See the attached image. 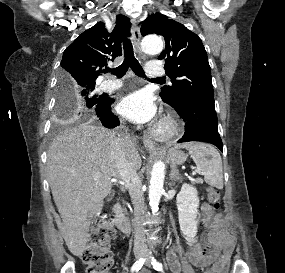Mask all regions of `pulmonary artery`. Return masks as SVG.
<instances>
[{"label":"pulmonary artery","instance_id":"e3ab8cb5","mask_svg":"<svg viewBox=\"0 0 285 273\" xmlns=\"http://www.w3.org/2000/svg\"><path fill=\"white\" fill-rule=\"evenodd\" d=\"M146 73L154 78H161L165 75L163 67L157 61H152L146 64ZM123 85L122 81L107 79L100 83L98 89L100 91L110 92L119 89Z\"/></svg>","mask_w":285,"mask_h":273}]
</instances>
